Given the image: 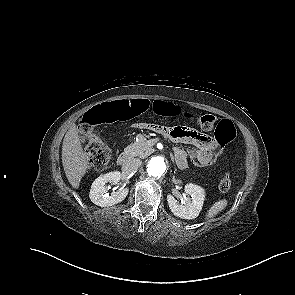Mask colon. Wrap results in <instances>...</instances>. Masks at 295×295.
Instances as JSON below:
<instances>
[{"label":"colon","instance_id":"obj_1","mask_svg":"<svg viewBox=\"0 0 295 295\" xmlns=\"http://www.w3.org/2000/svg\"><path fill=\"white\" fill-rule=\"evenodd\" d=\"M160 116H177L181 109L169 102L154 101L150 104L147 100H121L99 105L86 112L78 124V131L86 143V154L91 170L101 172L107 168L111 158L109 147L103 143L94 133V127L101 124H113L130 120L149 108ZM199 127L205 131H214L220 148L217 149L214 159L210 163L198 164L190 148H185V154L193 169L197 171L209 170L215 167L224 156L227 143L236 137V128L228 120L218 121L213 115H200L196 118ZM231 187V179L228 174L219 182L218 189L226 192Z\"/></svg>","mask_w":295,"mask_h":295}]
</instances>
